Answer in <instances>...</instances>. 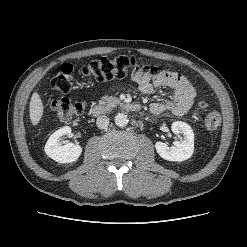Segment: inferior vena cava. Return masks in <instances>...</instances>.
<instances>
[{"instance_id":"1","label":"inferior vena cava","mask_w":247,"mask_h":247,"mask_svg":"<svg viewBox=\"0 0 247 247\" xmlns=\"http://www.w3.org/2000/svg\"><path fill=\"white\" fill-rule=\"evenodd\" d=\"M96 125L99 129H105L109 125V118L105 115L97 117Z\"/></svg>"}]
</instances>
